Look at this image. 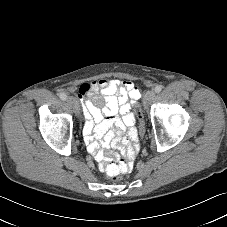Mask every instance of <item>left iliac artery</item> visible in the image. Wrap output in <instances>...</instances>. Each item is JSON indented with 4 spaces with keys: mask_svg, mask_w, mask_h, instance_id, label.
<instances>
[{
    "mask_svg": "<svg viewBox=\"0 0 227 227\" xmlns=\"http://www.w3.org/2000/svg\"><path fill=\"white\" fill-rule=\"evenodd\" d=\"M154 90H155L156 93H159L162 90V86L161 85H157Z\"/></svg>",
    "mask_w": 227,
    "mask_h": 227,
    "instance_id": "44dca946",
    "label": "left iliac artery"
}]
</instances>
